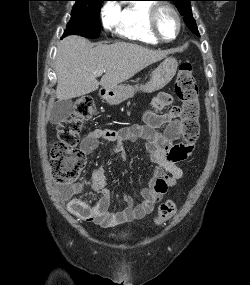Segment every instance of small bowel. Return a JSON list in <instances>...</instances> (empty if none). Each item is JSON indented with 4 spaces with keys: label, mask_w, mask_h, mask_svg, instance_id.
I'll use <instances>...</instances> for the list:
<instances>
[{
    "label": "small bowel",
    "mask_w": 250,
    "mask_h": 285,
    "mask_svg": "<svg viewBox=\"0 0 250 285\" xmlns=\"http://www.w3.org/2000/svg\"><path fill=\"white\" fill-rule=\"evenodd\" d=\"M170 103L171 97L167 93H159L153 100L156 109L165 108ZM163 126L165 129L160 132L159 129ZM181 136L178 108L165 114L147 112L143 125L135 124L116 130L98 128L87 133L81 142V151L84 154H91L98 148L101 140H107L114 144L122 158H126L125 143L144 140L149 160L155 167L147 187L141 191V202L134 205L132 199L126 196V206L119 211L110 210L111 193L103 166H99L94 174L92 189L100 197L93 204L78 197L84 189L81 183H59V194L66 202L69 212L81 220L103 227L139 220L150 214L168 189L174 187L183 177L179 163L191 153L192 146L182 143L174 145L173 142Z\"/></svg>",
    "instance_id": "c3829d8e"
}]
</instances>
